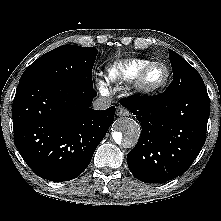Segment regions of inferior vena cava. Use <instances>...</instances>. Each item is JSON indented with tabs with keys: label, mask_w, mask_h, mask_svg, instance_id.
<instances>
[{
	"label": "inferior vena cava",
	"mask_w": 221,
	"mask_h": 221,
	"mask_svg": "<svg viewBox=\"0 0 221 221\" xmlns=\"http://www.w3.org/2000/svg\"><path fill=\"white\" fill-rule=\"evenodd\" d=\"M92 106L95 110H105L111 106V100L106 97H99L93 101Z\"/></svg>",
	"instance_id": "inferior-vena-cava-1"
}]
</instances>
